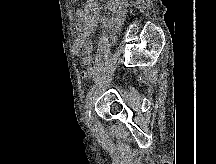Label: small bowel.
I'll return each instance as SVG.
<instances>
[{
  "mask_svg": "<svg viewBox=\"0 0 216 164\" xmlns=\"http://www.w3.org/2000/svg\"><path fill=\"white\" fill-rule=\"evenodd\" d=\"M109 9L112 12L110 25L118 27L126 12V0H109ZM78 19L77 36L74 41L75 53L82 56L84 65H91L92 42L91 34L94 32L100 21V4L98 0H86V2L76 11Z\"/></svg>",
  "mask_w": 216,
  "mask_h": 164,
  "instance_id": "obj_1",
  "label": "small bowel"
}]
</instances>
